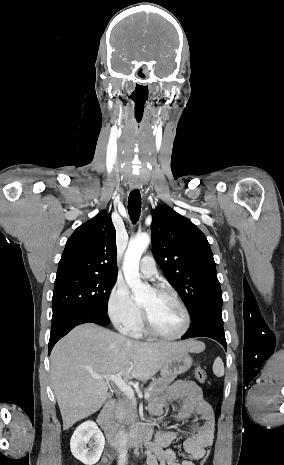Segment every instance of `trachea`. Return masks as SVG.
I'll return each mask as SVG.
<instances>
[{
  "instance_id": "obj_1",
  "label": "trachea",
  "mask_w": 284,
  "mask_h": 465,
  "mask_svg": "<svg viewBox=\"0 0 284 465\" xmlns=\"http://www.w3.org/2000/svg\"><path fill=\"white\" fill-rule=\"evenodd\" d=\"M128 212L131 221L136 223L141 214V195L138 189L133 190L129 195Z\"/></svg>"
}]
</instances>
